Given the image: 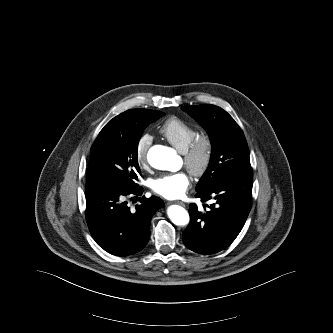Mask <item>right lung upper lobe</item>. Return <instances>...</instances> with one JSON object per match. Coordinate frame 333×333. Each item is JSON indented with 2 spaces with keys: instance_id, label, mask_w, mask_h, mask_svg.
<instances>
[{
  "instance_id": "1",
  "label": "right lung upper lobe",
  "mask_w": 333,
  "mask_h": 333,
  "mask_svg": "<svg viewBox=\"0 0 333 333\" xmlns=\"http://www.w3.org/2000/svg\"><path fill=\"white\" fill-rule=\"evenodd\" d=\"M121 118V115L116 116L114 119H119Z\"/></svg>"
}]
</instances>
